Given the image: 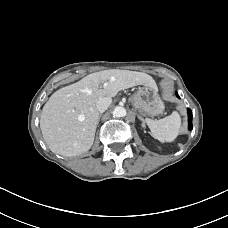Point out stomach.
Returning a JSON list of instances; mask_svg holds the SVG:
<instances>
[{"label": "stomach", "instance_id": "0dacf381", "mask_svg": "<svg viewBox=\"0 0 228 228\" xmlns=\"http://www.w3.org/2000/svg\"><path fill=\"white\" fill-rule=\"evenodd\" d=\"M131 102L141 114L157 116L164 111V103L159 97L158 89L144 86L131 96Z\"/></svg>", "mask_w": 228, "mask_h": 228}]
</instances>
